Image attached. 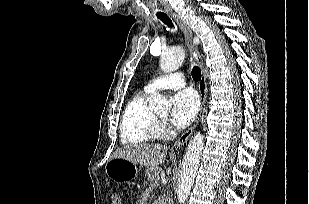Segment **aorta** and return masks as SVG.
<instances>
[{"label": "aorta", "instance_id": "762f6f07", "mask_svg": "<svg viewBox=\"0 0 309 204\" xmlns=\"http://www.w3.org/2000/svg\"><path fill=\"white\" fill-rule=\"evenodd\" d=\"M185 51L181 47H173L161 54L160 68L165 73L176 71L184 62ZM170 107L167 99L160 94L152 97L149 108L153 111H166ZM204 146V136L198 132L190 140L182 164L180 182L177 189L179 204H183L194 184L196 172L200 163L201 153Z\"/></svg>", "mask_w": 309, "mask_h": 204}]
</instances>
